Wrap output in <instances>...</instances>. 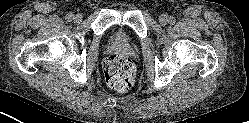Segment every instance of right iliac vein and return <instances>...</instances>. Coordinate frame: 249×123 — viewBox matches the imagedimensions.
<instances>
[{"instance_id": "right-iliac-vein-1", "label": "right iliac vein", "mask_w": 249, "mask_h": 123, "mask_svg": "<svg viewBox=\"0 0 249 123\" xmlns=\"http://www.w3.org/2000/svg\"><path fill=\"white\" fill-rule=\"evenodd\" d=\"M73 20L75 23H80L82 21V16L80 14H77L76 16H74Z\"/></svg>"}]
</instances>
